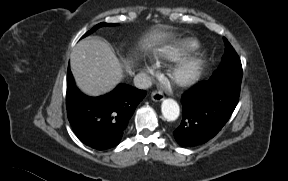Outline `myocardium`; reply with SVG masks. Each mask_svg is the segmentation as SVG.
Listing matches in <instances>:
<instances>
[{"mask_svg":"<svg viewBox=\"0 0 288 181\" xmlns=\"http://www.w3.org/2000/svg\"><path fill=\"white\" fill-rule=\"evenodd\" d=\"M205 63L206 58L203 55L188 58L174 70L172 80L181 86L193 84L200 77Z\"/></svg>","mask_w":288,"mask_h":181,"instance_id":"myocardium-1","label":"myocardium"}]
</instances>
